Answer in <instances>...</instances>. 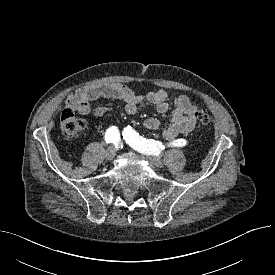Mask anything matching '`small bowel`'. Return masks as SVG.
I'll use <instances>...</instances> for the list:
<instances>
[{"instance_id": "1", "label": "small bowel", "mask_w": 275, "mask_h": 275, "mask_svg": "<svg viewBox=\"0 0 275 275\" xmlns=\"http://www.w3.org/2000/svg\"><path fill=\"white\" fill-rule=\"evenodd\" d=\"M101 97L124 101L125 111L130 115L135 114L138 107L145 101L154 105L157 112L161 114L170 109L169 96L165 90L151 91L142 95L126 85L117 83L82 86L66 96L65 107L82 115L90 112L98 117L108 115L111 110L106 107L91 108V103ZM172 107L166 126H163L161 121L155 117L145 119L143 126L150 130L162 129L163 137L169 141L181 134L190 133L196 126L197 107L185 95L175 97Z\"/></svg>"}]
</instances>
